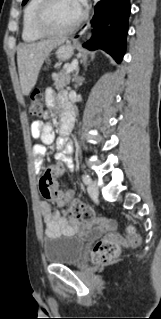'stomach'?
<instances>
[{
	"instance_id": "obj_1",
	"label": "stomach",
	"mask_w": 161,
	"mask_h": 319,
	"mask_svg": "<svg viewBox=\"0 0 161 319\" xmlns=\"http://www.w3.org/2000/svg\"><path fill=\"white\" fill-rule=\"evenodd\" d=\"M73 54V47L70 43L60 46L56 51V56L60 60L69 59Z\"/></svg>"
}]
</instances>
